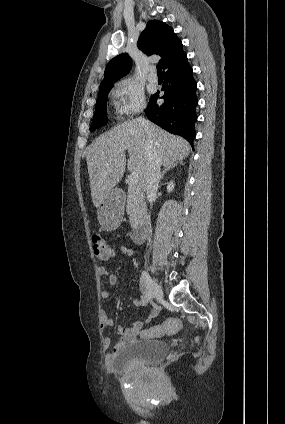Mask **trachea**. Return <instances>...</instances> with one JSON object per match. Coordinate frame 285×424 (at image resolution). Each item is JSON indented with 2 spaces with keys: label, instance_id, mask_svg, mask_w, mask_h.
<instances>
[{
  "label": "trachea",
  "instance_id": "3493384b",
  "mask_svg": "<svg viewBox=\"0 0 285 424\" xmlns=\"http://www.w3.org/2000/svg\"><path fill=\"white\" fill-rule=\"evenodd\" d=\"M156 68H157V74H163L162 67L160 64H157Z\"/></svg>",
  "mask_w": 285,
  "mask_h": 424
}]
</instances>
